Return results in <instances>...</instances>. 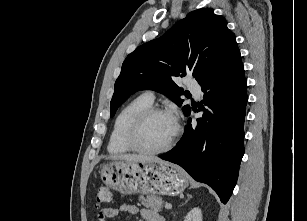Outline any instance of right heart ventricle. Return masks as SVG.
Returning a JSON list of instances; mask_svg holds the SVG:
<instances>
[{"label": "right heart ventricle", "mask_w": 307, "mask_h": 221, "mask_svg": "<svg viewBox=\"0 0 307 221\" xmlns=\"http://www.w3.org/2000/svg\"><path fill=\"white\" fill-rule=\"evenodd\" d=\"M152 105L144 95L139 96L127 103L117 114L108 142V151L118 155L131 151L126 143V133L131 121L143 109Z\"/></svg>", "instance_id": "e07e8e85"}]
</instances>
